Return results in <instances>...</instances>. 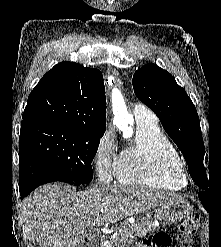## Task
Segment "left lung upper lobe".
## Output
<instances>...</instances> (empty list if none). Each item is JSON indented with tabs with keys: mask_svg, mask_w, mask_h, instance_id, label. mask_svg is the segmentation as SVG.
Returning <instances> with one entry per match:
<instances>
[{
	"mask_svg": "<svg viewBox=\"0 0 221 247\" xmlns=\"http://www.w3.org/2000/svg\"><path fill=\"white\" fill-rule=\"evenodd\" d=\"M132 83L135 95L154 111L181 150L193 181L208 190L200 120L190 97L169 72L152 63L137 70Z\"/></svg>",
	"mask_w": 221,
	"mask_h": 247,
	"instance_id": "obj_1",
	"label": "left lung upper lobe"
}]
</instances>
